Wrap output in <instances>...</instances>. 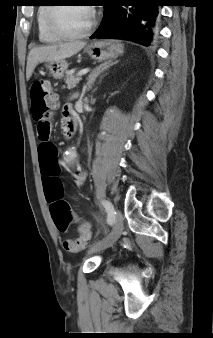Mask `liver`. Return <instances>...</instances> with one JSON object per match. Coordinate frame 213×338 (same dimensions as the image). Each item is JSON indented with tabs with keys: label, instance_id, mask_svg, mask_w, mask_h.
Segmentation results:
<instances>
[{
	"label": "liver",
	"instance_id": "6515ba94",
	"mask_svg": "<svg viewBox=\"0 0 213 338\" xmlns=\"http://www.w3.org/2000/svg\"><path fill=\"white\" fill-rule=\"evenodd\" d=\"M86 45L83 41H74L57 45L33 48L27 58L26 78L29 80L36 66L44 61H60L77 54Z\"/></svg>",
	"mask_w": 213,
	"mask_h": 338
}]
</instances>
